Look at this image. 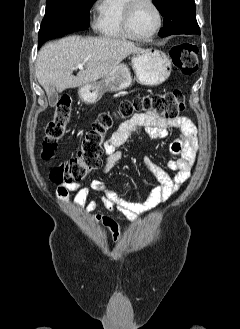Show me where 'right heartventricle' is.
<instances>
[{
	"instance_id": "1",
	"label": "right heart ventricle",
	"mask_w": 240,
	"mask_h": 329,
	"mask_svg": "<svg viewBox=\"0 0 240 329\" xmlns=\"http://www.w3.org/2000/svg\"><path fill=\"white\" fill-rule=\"evenodd\" d=\"M128 0H100L95 28L100 35L111 40H125L128 37L122 28V17Z\"/></svg>"
}]
</instances>
